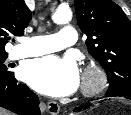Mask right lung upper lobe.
<instances>
[{
  "mask_svg": "<svg viewBox=\"0 0 131 115\" xmlns=\"http://www.w3.org/2000/svg\"><path fill=\"white\" fill-rule=\"evenodd\" d=\"M31 20V11L24 0H0V55L11 37L22 36Z\"/></svg>",
  "mask_w": 131,
  "mask_h": 115,
  "instance_id": "obj_1",
  "label": "right lung upper lobe"
}]
</instances>
